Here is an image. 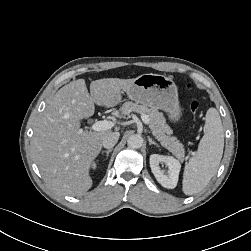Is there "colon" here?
Masks as SVG:
<instances>
[{
    "label": "colon",
    "mask_w": 251,
    "mask_h": 251,
    "mask_svg": "<svg viewBox=\"0 0 251 251\" xmlns=\"http://www.w3.org/2000/svg\"><path fill=\"white\" fill-rule=\"evenodd\" d=\"M187 86H189V84H187ZM190 109H191V112H192L194 115H196L197 112H198V109H199V103L196 102V101L192 102L191 105H190Z\"/></svg>",
    "instance_id": "colon-1"
}]
</instances>
